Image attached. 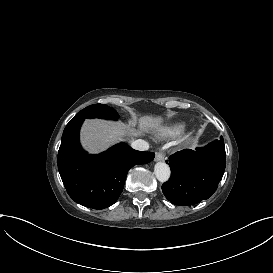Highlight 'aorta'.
Listing matches in <instances>:
<instances>
[{"mask_svg":"<svg viewBox=\"0 0 273 273\" xmlns=\"http://www.w3.org/2000/svg\"><path fill=\"white\" fill-rule=\"evenodd\" d=\"M154 173L158 181L164 183L170 178L171 172L168 164L164 162H158L154 166Z\"/></svg>","mask_w":273,"mask_h":273,"instance_id":"1","label":"aorta"}]
</instances>
